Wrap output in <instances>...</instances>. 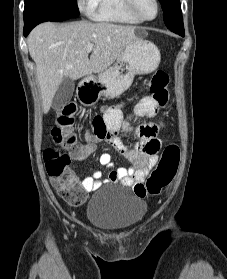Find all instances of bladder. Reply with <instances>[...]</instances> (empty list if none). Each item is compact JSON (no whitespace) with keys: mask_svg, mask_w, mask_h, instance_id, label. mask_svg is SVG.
I'll use <instances>...</instances> for the list:
<instances>
[{"mask_svg":"<svg viewBox=\"0 0 227 279\" xmlns=\"http://www.w3.org/2000/svg\"><path fill=\"white\" fill-rule=\"evenodd\" d=\"M145 211V203L130 189L108 186L92 197L86 218L101 229L123 231L136 226Z\"/></svg>","mask_w":227,"mask_h":279,"instance_id":"obj_1","label":"bladder"}]
</instances>
